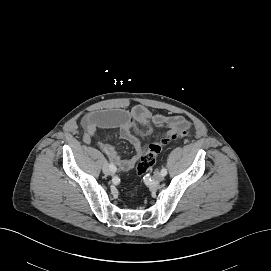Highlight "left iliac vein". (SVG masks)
I'll return each mask as SVG.
<instances>
[{"mask_svg": "<svg viewBox=\"0 0 271 271\" xmlns=\"http://www.w3.org/2000/svg\"><path fill=\"white\" fill-rule=\"evenodd\" d=\"M154 179L158 182L162 181L164 179V176L162 175L161 172H156L154 175Z\"/></svg>", "mask_w": 271, "mask_h": 271, "instance_id": "left-iliac-vein-1", "label": "left iliac vein"}]
</instances>
